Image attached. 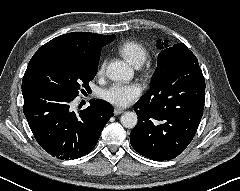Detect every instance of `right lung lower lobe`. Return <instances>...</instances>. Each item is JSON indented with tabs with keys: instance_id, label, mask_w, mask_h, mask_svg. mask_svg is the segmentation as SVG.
I'll use <instances>...</instances> for the list:
<instances>
[{
	"instance_id": "obj_1",
	"label": "right lung lower lobe",
	"mask_w": 240,
	"mask_h": 191,
	"mask_svg": "<svg viewBox=\"0 0 240 191\" xmlns=\"http://www.w3.org/2000/svg\"><path fill=\"white\" fill-rule=\"evenodd\" d=\"M23 111L38 144L50 155L62 160L88 154L113 116L108 104L91 100L90 106L71 111L74 98L44 90L22 91Z\"/></svg>"
}]
</instances>
